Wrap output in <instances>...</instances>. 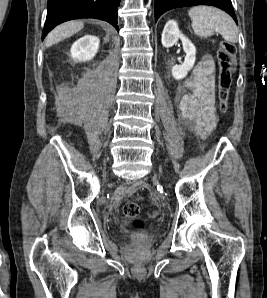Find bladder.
Instances as JSON below:
<instances>
[{"instance_id": "31cf9c89", "label": "bladder", "mask_w": 267, "mask_h": 298, "mask_svg": "<svg viewBox=\"0 0 267 298\" xmlns=\"http://www.w3.org/2000/svg\"><path fill=\"white\" fill-rule=\"evenodd\" d=\"M157 238L156 233H148L141 237V240L145 244L152 243Z\"/></svg>"}]
</instances>
